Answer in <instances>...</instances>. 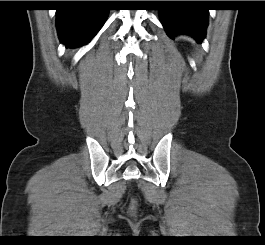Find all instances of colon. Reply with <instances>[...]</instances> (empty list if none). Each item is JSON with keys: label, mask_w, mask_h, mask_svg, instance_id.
I'll return each instance as SVG.
<instances>
[{"label": "colon", "mask_w": 265, "mask_h": 245, "mask_svg": "<svg viewBox=\"0 0 265 245\" xmlns=\"http://www.w3.org/2000/svg\"><path fill=\"white\" fill-rule=\"evenodd\" d=\"M135 209H136V205H135V203H132V205H131V213H134Z\"/></svg>", "instance_id": "5ec220e1"}]
</instances>
